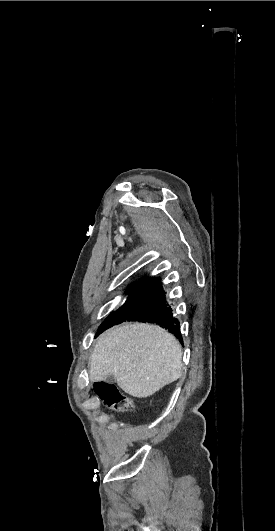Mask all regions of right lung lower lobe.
Here are the masks:
<instances>
[{"label": "right lung lower lobe", "instance_id": "1", "mask_svg": "<svg viewBox=\"0 0 275 531\" xmlns=\"http://www.w3.org/2000/svg\"><path fill=\"white\" fill-rule=\"evenodd\" d=\"M124 321L159 324L182 342L180 323L173 317L172 309L166 303L165 291L159 277L141 279L136 287L130 290V296L125 303L101 324L97 335Z\"/></svg>", "mask_w": 275, "mask_h": 531}]
</instances>
